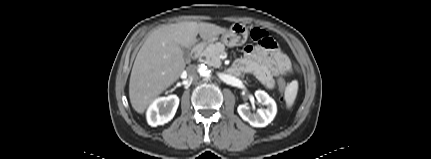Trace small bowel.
<instances>
[{"mask_svg": "<svg viewBox=\"0 0 431 159\" xmlns=\"http://www.w3.org/2000/svg\"><path fill=\"white\" fill-rule=\"evenodd\" d=\"M233 70L251 73L271 89L274 87V78L291 72L293 65L287 54L270 38L268 45L258 43L245 46L243 57L236 61Z\"/></svg>", "mask_w": 431, "mask_h": 159, "instance_id": "small-bowel-1", "label": "small bowel"}]
</instances>
